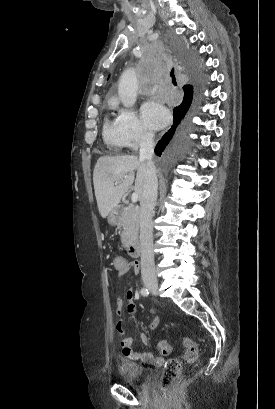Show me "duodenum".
<instances>
[{
    "mask_svg": "<svg viewBox=\"0 0 275 409\" xmlns=\"http://www.w3.org/2000/svg\"><path fill=\"white\" fill-rule=\"evenodd\" d=\"M128 253L133 258H139L141 256V245L139 241L135 240L128 244Z\"/></svg>",
    "mask_w": 275,
    "mask_h": 409,
    "instance_id": "410a0bca",
    "label": "duodenum"
}]
</instances>
